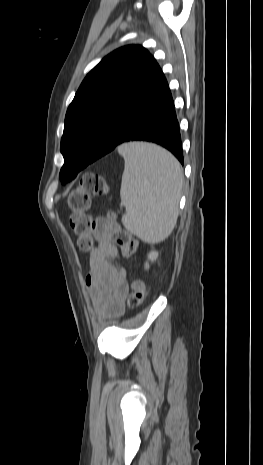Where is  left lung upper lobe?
Instances as JSON below:
<instances>
[{"label":"left lung upper lobe","instance_id":"left-lung-upper-lobe-1","mask_svg":"<svg viewBox=\"0 0 263 465\" xmlns=\"http://www.w3.org/2000/svg\"><path fill=\"white\" fill-rule=\"evenodd\" d=\"M155 64L145 48L129 45L104 57L88 73L67 109L60 146L64 159L94 155L120 107L136 96ZM60 178L63 183L70 180L62 174Z\"/></svg>","mask_w":263,"mask_h":465}]
</instances>
